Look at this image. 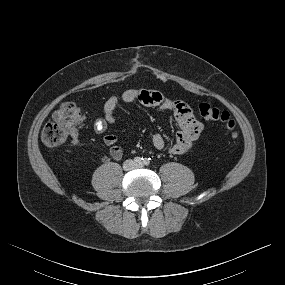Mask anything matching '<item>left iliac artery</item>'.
I'll use <instances>...</instances> for the list:
<instances>
[{
	"instance_id": "left-iliac-artery-1",
	"label": "left iliac artery",
	"mask_w": 285,
	"mask_h": 285,
	"mask_svg": "<svg viewBox=\"0 0 285 285\" xmlns=\"http://www.w3.org/2000/svg\"><path fill=\"white\" fill-rule=\"evenodd\" d=\"M150 160H151V158H145V159L143 160V164H144V165H149V164H150Z\"/></svg>"
}]
</instances>
